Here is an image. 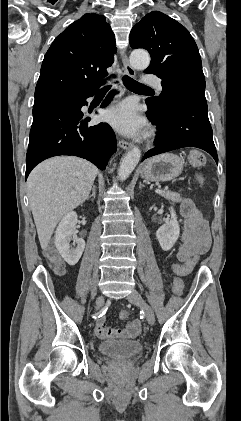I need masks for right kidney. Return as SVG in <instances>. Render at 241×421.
<instances>
[{"mask_svg": "<svg viewBox=\"0 0 241 421\" xmlns=\"http://www.w3.org/2000/svg\"><path fill=\"white\" fill-rule=\"evenodd\" d=\"M77 223V214L74 211L67 213L59 223L55 232V246L63 259L71 266L78 263L85 248V241L74 234ZM70 241L77 245L70 247Z\"/></svg>", "mask_w": 241, "mask_h": 421, "instance_id": "1", "label": "right kidney"}]
</instances>
